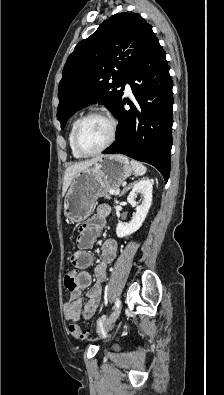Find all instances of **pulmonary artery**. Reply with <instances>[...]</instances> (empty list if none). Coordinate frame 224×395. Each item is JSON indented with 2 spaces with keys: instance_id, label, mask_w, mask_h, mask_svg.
<instances>
[{
  "instance_id": "1",
  "label": "pulmonary artery",
  "mask_w": 224,
  "mask_h": 395,
  "mask_svg": "<svg viewBox=\"0 0 224 395\" xmlns=\"http://www.w3.org/2000/svg\"><path fill=\"white\" fill-rule=\"evenodd\" d=\"M124 91L127 95H130L132 93L131 86L128 82L124 83Z\"/></svg>"
}]
</instances>
